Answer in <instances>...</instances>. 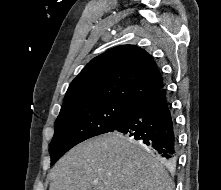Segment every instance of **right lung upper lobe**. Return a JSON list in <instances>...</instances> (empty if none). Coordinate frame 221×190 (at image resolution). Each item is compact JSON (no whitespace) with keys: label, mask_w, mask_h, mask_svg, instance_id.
Instances as JSON below:
<instances>
[{"label":"right lung upper lobe","mask_w":221,"mask_h":190,"mask_svg":"<svg viewBox=\"0 0 221 190\" xmlns=\"http://www.w3.org/2000/svg\"><path fill=\"white\" fill-rule=\"evenodd\" d=\"M164 88L149 53L133 45L114 47L91 60L70 84L63 107L113 100L131 106Z\"/></svg>","instance_id":"cb5924a9"}]
</instances>
